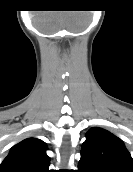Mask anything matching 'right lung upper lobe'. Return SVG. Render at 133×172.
Here are the masks:
<instances>
[{"label": "right lung upper lobe", "mask_w": 133, "mask_h": 172, "mask_svg": "<svg viewBox=\"0 0 133 172\" xmlns=\"http://www.w3.org/2000/svg\"><path fill=\"white\" fill-rule=\"evenodd\" d=\"M46 149V143L40 139H24L11 148L0 165V172H50Z\"/></svg>", "instance_id": "1"}]
</instances>
